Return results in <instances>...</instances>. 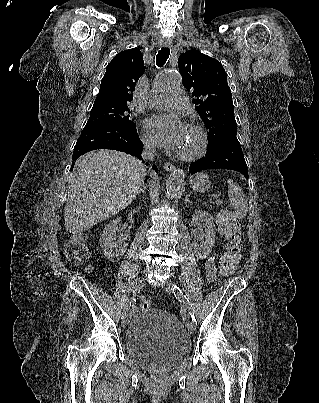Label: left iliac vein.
Masks as SVG:
<instances>
[{"instance_id": "obj_1", "label": "left iliac vein", "mask_w": 319, "mask_h": 403, "mask_svg": "<svg viewBox=\"0 0 319 403\" xmlns=\"http://www.w3.org/2000/svg\"><path fill=\"white\" fill-rule=\"evenodd\" d=\"M161 288H162L164 291L168 292V293H172V292H173V286H172L171 282L168 281V280H166L165 282H163V283L161 284ZM187 328H188L189 333H190V334H193L194 331H195V329H196V326H195L192 322H189V325L187 326Z\"/></svg>"}]
</instances>
